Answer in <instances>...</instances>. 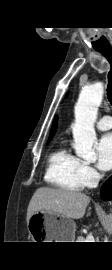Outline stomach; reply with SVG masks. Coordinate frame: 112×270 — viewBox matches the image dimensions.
I'll return each mask as SVG.
<instances>
[{
  "mask_svg": "<svg viewBox=\"0 0 112 270\" xmlns=\"http://www.w3.org/2000/svg\"><path fill=\"white\" fill-rule=\"evenodd\" d=\"M34 242H74L75 222L64 215L38 211L27 223Z\"/></svg>",
  "mask_w": 112,
  "mask_h": 270,
  "instance_id": "obj_1",
  "label": "stomach"
}]
</instances>
